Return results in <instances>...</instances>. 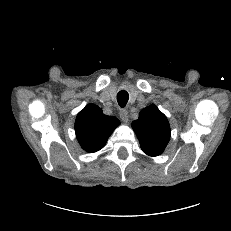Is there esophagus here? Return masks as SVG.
Returning <instances> with one entry per match:
<instances>
[{"label":"esophagus","instance_id":"esophagus-1","mask_svg":"<svg viewBox=\"0 0 231 231\" xmlns=\"http://www.w3.org/2000/svg\"><path fill=\"white\" fill-rule=\"evenodd\" d=\"M120 118L124 123L128 122V111L126 109L120 110Z\"/></svg>","mask_w":231,"mask_h":231}]
</instances>
